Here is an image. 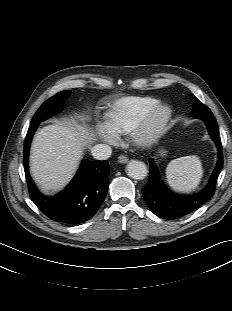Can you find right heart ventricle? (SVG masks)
<instances>
[{"label":"right heart ventricle","mask_w":232,"mask_h":311,"mask_svg":"<svg viewBox=\"0 0 232 311\" xmlns=\"http://www.w3.org/2000/svg\"><path fill=\"white\" fill-rule=\"evenodd\" d=\"M159 104L150 96H132L120 99L107 114V126L115 135L131 132L142 116Z\"/></svg>","instance_id":"1"}]
</instances>
